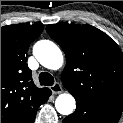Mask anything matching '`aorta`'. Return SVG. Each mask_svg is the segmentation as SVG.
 <instances>
[{
    "label": "aorta",
    "mask_w": 123,
    "mask_h": 123,
    "mask_svg": "<svg viewBox=\"0 0 123 123\" xmlns=\"http://www.w3.org/2000/svg\"><path fill=\"white\" fill-rule=\"evenodd\" d=\"M33 52L37 60L46 68L57 70L63 65V55L59 47L49 40L35 43ZM56 110L62 115H70L76 108L74 97L69 93L60 94L55 101Z\"/></svg>",
    "instance_id": "762f6f07"
}]
</instances>
